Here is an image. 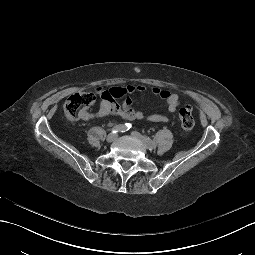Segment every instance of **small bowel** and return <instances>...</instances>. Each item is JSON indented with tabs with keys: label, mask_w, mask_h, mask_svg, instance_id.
I'll use <instances>...</instances> for the list:
<instances>
[{
	"label": "small bowel",
	"mask_w": 255,
	"mask_h": 255,
	"mask_svg": "<svg viewBox=\"0 0 255 255\" xmlns=\"http://www.w3.org/2000/svg\"><path fill=\"white\" fill-rule=\"evenodd\" d=\"M127 93L139 91H145L143 86H127L124 88ZM107 91L97 89V93L100 95L99 109L96 112H84L81 116L83 120H92L102 117H119L123 120H147L150 122H169V117L160 114H145L141 110H136L133 107L132 100L124 95L121 106L111 98L107 97ZM151 92L153 95L161 98L167 105L170 112H175L181 103L179 94L172 92L168 89L160 87H152ZM126 93V94H127Z\"/></svg>",
	"instance_id": "obj_1"
}]
</instances>
